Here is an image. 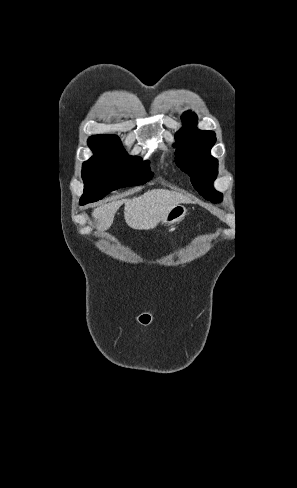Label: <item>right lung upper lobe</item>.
<instances>
[{"instance_id":"1","label":"right lung upper lobe","mask_w":297,"mask_h":488,"mask_svg":"<svg viewBox=\"0 0 297 488\" xmlns=\"http://www.w3.org/2000/svg\"><path fill=\"white\" fill-rule=\"evenodd\" d=\"M104 139H119L117 136L96 135L92 136L88 140L89 147L93 150H98L101 147V142Z\"/></svg>"}]
</instances>
